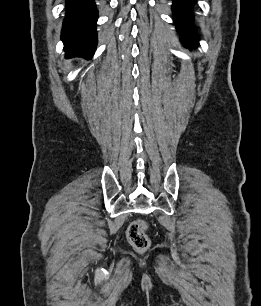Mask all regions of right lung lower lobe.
Segmentation results:
<instances>
[{
  "label": "right lung lower lobe",
  "instance_id": "1",
  "mask_svg": "<svg viewBox=\"0 0 261 306\" xmlns=\"http://www.w3.org/2000/svg\"><path fill=\"white\" fill-rule=\"evenodd\" d=\"M61 38L67 57L91 58L97 37L98 11L94 0H67Z\"/></svg>",
  "mask_w": 261,
  "mask_h": 306
}]
</instances>
